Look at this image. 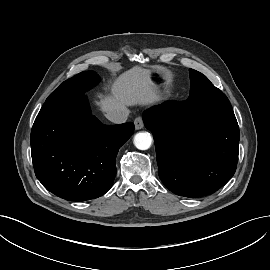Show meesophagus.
<instances>
[{
  "instance_id": "esophagus-1",
  "label": "esophagus",
  "mask_w": 270,
  "mask_h": 270,
  "mask_svg": "<svg viewBox=\"0 0 270 270\" xmlns=\"http://www.w3.org/2000/svg\"><path fill=\"white\" fill-rule=\"evenodd\" d=\"M134 126L136 130H140L143 128L144 124H143V119L141 117H137L134 120Z\"/></svg>"
}]
</instances>
